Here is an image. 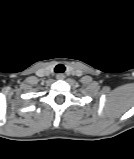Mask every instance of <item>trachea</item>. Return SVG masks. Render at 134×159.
<instances>
[{"label":"trachea","mask_w":134,"mask_h":159,"mask_svg":"<svg viewBox=\"0 0 134 159\" xmlns=\"http://www.w3.org/2000/svg\"><path fill=\"white\" fill-rule=\"evenodd\" d=\"M65 66L63 64L56 65L54 71L55 73H63L65 71Z\"/></svg>","instance_id":"obj_1"}]
</instances>
